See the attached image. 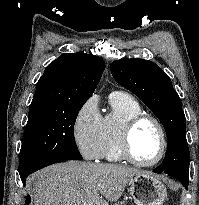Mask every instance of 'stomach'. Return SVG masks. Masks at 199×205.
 Returning a JSON list of instances; mask_svg holds the SVG:
<instances>
[{"label": "stomach", "mask_w": 199, "mask_h": 205, "mask_svg": "<svg viewBox=\"0 0 199 205\" xmlns=\"http://www.w3.org/2000/svg\"><path fill=\"white\" fill-rule=\"evenodd\" d=\"M130 194L137 205H162L167 199L166 186L148 173L138 174L131 179Z\"/></svg>", "instance_id": "obj_1"}]
</instances>
